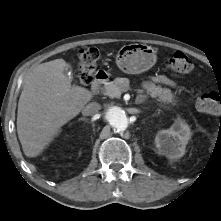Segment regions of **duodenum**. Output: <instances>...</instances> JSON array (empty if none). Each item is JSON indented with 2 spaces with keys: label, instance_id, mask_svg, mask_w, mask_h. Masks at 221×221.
Instances as JSON below:
<instances>
[{
  "label": "duodenum",
  "instance_id": "1",
  "mask_svg": "<svg viewBox=\"0 0 221 221\" xmlns=\"http://www.w3.org/2000/svg\"><path fill=\"white\" fill-rule=\"evenodd\" d=\"M107 80V74L103 70H99L95 74L94 81L91 85V89L93 92H98L101 88L102 84ZM143 98L141 97L140 100Z\"/></svg>",
  "mask_w": 221,
  "mask_h": 221
}]
</instances>
